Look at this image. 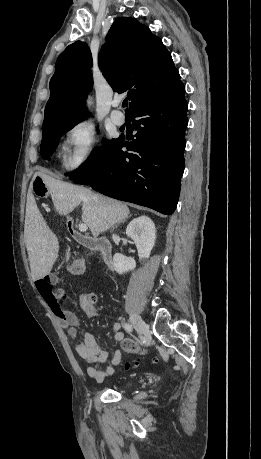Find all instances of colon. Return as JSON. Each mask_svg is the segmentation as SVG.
<instances>
[{"label": "colon", "instance_id": "obj_1", "mask_svg": "<svg viewBox=\"0 0 261 459\" xmlns=\"http://www.w3.org/2000/svg\"><path fill=\"white\" fill-rule=\"evenodd\" d=\"M59 266L64 268L71 275H80L85 270V259L66 255L61 258ZM80 301L85 305L93 306L96 302V295L92 292H84L80 296ZM121 348L127 353H136L140 355H145L147 353L145 349L140 348L131 339H124L121 342ZM138 365L139 363H134L133 365H127V368L137 367Z\"/></svg>", "mask_w": 261, "mask_h": 459}]
</instances>
